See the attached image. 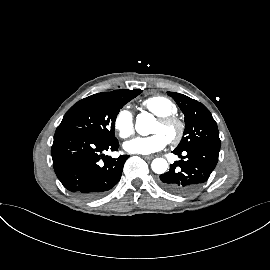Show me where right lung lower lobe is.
I'll return each mask as SVG.
<instances>
[{
    "instance_id": "98d812e1",
    "label": "right lung lower lobe",
    "mask_w": 270,
    "mask_h": 270,
    "mask_svg": "<svg viewBox=\"0 0 270 270\" xmlns=\"http://www.w3.org/2000/svg\"><path fill=\"white\" fill-rule=\"evenodd\" d=\"M119 142H103L80 133H55L53 167L62 185L82 199H94L113 188L121 178L128 155L117 159L102 154L118 150Z\"/></svg>"
}]
</instances>
